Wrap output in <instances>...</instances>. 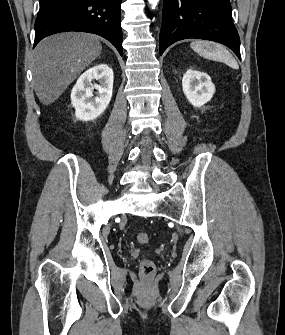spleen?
<instances>
[{"label":"spleen","mask_w":285,"mask_h":335,"mask_svg":"<svg viewBox=\"0 0 285 335\" xmlns=\"http://www.w3.org/2000/svg\"><path fill=\"white\" fill-rule=\"evenodd\" d=\"M190 48L194 52H197L199 56H203V58L216 60V62H224V64H227L230 68H234V70H238L239 68L230 52L226 48H223V46H220V44H214V42H193V44H190Z\"/></svg>","instance_id":"3e777b00"}]
</instances>
